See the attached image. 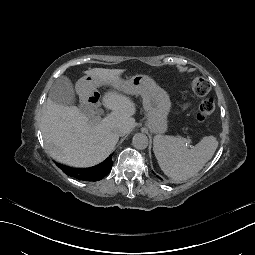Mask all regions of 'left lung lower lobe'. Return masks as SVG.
I'll return each instance as SVG.
<instances>
[{"label": "left lung lower lobe", "mask_w": 255, "mask_h": 255, "mask_svg": "<svg viewBox=\"0 0 255 255\" xmlns=\"http://www.w3.org/2000/svg\"><path fill=\"white\" fill-rule=\"evenodd\" d=\"M153 175H155L156 177H159V180L163 181L165 184H169V181L160 177V174L156 173V171H153Z\"/></svg>", "instance_id": "obj_1"}]
</instances>
